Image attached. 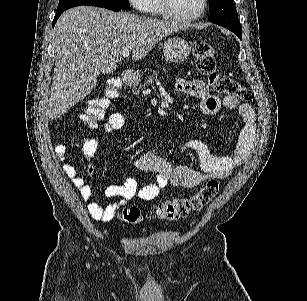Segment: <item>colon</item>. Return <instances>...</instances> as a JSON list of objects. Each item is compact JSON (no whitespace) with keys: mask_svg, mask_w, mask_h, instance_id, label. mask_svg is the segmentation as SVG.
<instances>
[{"mask_svg":"<svg viewBox=\"0 0 307 301\" xmlns=\"http://www.w3.org/2000/svg\"><path fill=\"white\" fill-rule=\"evenodd\" d=\"M193 56L201 75L208 79L212 89L220 94L235 96L241 101L247 102L253 98L252 92L228 75L217 73L215 64V52L213 47L204 40H196L193 43ZM121 88L120 80H111L106 84L104 96L95 98L89 102L82 121L91 129L105 116V110L110 100L117 97ZM219 183L215 179L208 180L205 185L194 195L186 198H175L161 202L154 210L157 218L165 221H173L184 218L192 212L203 209L217 195ZM120 217L129 224H137L143 220L142 212L136 207L124 208Z\"/></svg>","mask_w":307,"mask_h":301,"instance_id":"obj_1","label":"colon"}]
</instances>
